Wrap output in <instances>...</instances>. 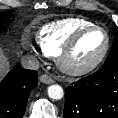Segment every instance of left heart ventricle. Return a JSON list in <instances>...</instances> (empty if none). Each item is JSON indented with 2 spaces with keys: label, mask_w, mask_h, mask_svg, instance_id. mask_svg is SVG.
<instances>
[{
  "label": "left heart ventricle",
  "mask_w": 118,
  "mask_h": 118,
  "mask_svg": "<svg viewBox=\"0 0 118 118\" xmlns=\"http://www.w3.org/2000/svg\"><path fill=\"white\" fill-rule=\"evenodd\" d=\"M106 45V38L102 31L95 30L86 34L75 50L69 63L73 66H84L99 57Z\"/></svg>",
  "instance_id": "1"
}]
</instances>
